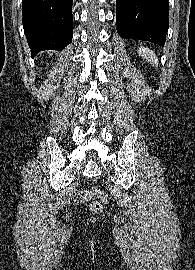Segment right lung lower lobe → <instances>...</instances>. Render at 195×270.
Returning <instances> with one entry per match:
<instances>
[{
	"mask_svg": "<svg viewBox=\"0 0 195 270\" xmlns=\"http://www.w3.org/2000/svg\"><path fill=\"white\" fill-rule=\"evenodd\" d=\"M73 0H23V28L31 56L61 50L72 41Z\"/></svg>",
	"mask_w": 195,
	"mask_h": 270,
	"instance_id": "right-lung-lower-lobe-1",
	"label": "right lung lower lobe"
}]
</instances>
